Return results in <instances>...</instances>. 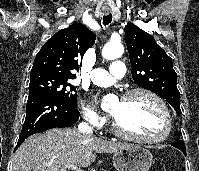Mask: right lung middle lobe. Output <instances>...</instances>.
I'll list each match as a JSON object with an SVG mask.
<instances>
[{"label":"right lung middle lobe","instance_id":"obj_1","mask_svg":"<svg viewBox=\"0 0 199 171\" xmlns=\"http://www.w3.org/2000/svg\"><path fill=\"white\" fill-rule=\"evenodd\" d=\"M36 91L50 92L61 98L66 103L76 107V88L71 85L67 79L51 75H38L30 77L29 94Z\"/></svg>","mask_w":199,"mask_h":171}]
</instances>
